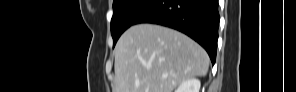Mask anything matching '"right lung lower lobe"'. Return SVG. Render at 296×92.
<instances>
[{"mask_svg":"<svg viewBox=\"0 0 296 92\" xmlns=\"http://www.w3.org/2000/svg\"><path fill=\"white\" fill-rule=\"evenodd\" d=\"M220 16L218 0H155L134 21L167 26L190 36L216 60Z\"/></svg>","mask_w":296,"mask_h":92,"instance_id":"right-lung-lower-lobe-1","label":"right lung lower lobe"}]
</instances>
